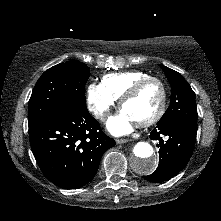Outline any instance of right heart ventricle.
I'll return each instance as SVG.
<instances>
[{
  "label": "right heart ventricle",
  "mask_w": 221,
  "mask_h": 221,
  "mask_svg": "<svg viewBox=\"0 0 221 221\" xmlns=\"http://www.w3.org/2000/svg\"><path fill=\"white\" fill-rule=\"evenodd\" d=\"M150 76L143 71H125L110 73L102 77V85L117 100L120 99L136 82Z\"/></svg>",
  "instance_id": "obj_1"
}]
</instances>
